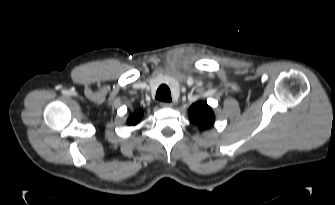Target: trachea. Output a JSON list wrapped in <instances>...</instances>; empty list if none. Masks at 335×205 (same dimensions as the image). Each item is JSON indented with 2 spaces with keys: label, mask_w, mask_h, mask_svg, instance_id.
I'll return each mask as SVG.
<instances>
[{
  "label": "trachea",
  "mask_w": 335,
  "mask_h": 205,
  "mask_svg": "<svg viewBox=\"0 0 335 205\" xmlns=\"http://www.w3.org/2000/svg\"><path fill=\"white\" fill-rule=\"evenodd\" d=\"M156 99L163 101V102L171 101V92L167 85L162 84L159 86L156 92Z\"/></svg>",
  "instance_id": "obj_1"
}]
</instances>
